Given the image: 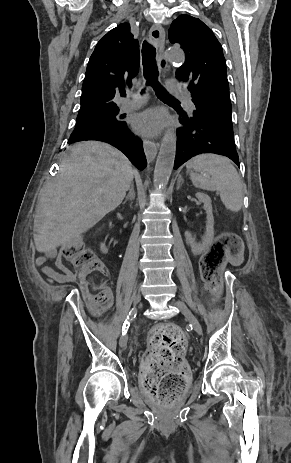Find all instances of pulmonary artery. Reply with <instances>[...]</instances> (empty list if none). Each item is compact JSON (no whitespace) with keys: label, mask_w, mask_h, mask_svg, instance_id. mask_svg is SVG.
Here are the masks:
<instances>
[{"label":"pulmonary artery","mask_w":291,"mask_h":463,"mask_svg":"<svg viewBox=\"0 0 291 463\" xmlns=\"http://www.w3.org/2000/svg\"><path fill=\"white\" fill-rule=\"evenodd\" d=\"M168 89L171 95L176 98L183 99L187 103L189 110L194 111L195 105L193 101L191 100L189 94L181 89L178 83L175 81H169ZM128 96L129 99L124 100L120 105L121 111H130L139 108L147 100V94L140 95L129 93Z\"/></svg>","instance_id":"1"}]
</instances>
